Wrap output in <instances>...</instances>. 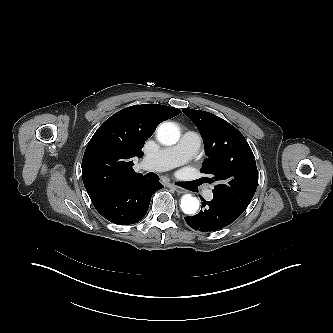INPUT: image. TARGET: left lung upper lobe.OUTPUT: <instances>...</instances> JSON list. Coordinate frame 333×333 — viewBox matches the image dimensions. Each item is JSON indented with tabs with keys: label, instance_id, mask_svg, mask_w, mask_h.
Segmentation results:
<instances>
[{
	"label": "left lung upper lobe",
	"instance_id": "5c2ea615",
	"mask_svg": "<svg viewBox=\"0 0 333 333\" xmlns=\"http://www.w3.org/2000/svg\"><path fill=\"white\" fill-rule=\"evenodd\" d=\"M204 139L205 154L201 172L216 182V195L242 210L251 202L258 185L254 154L244 136L224 119L206 111L183 109Z\"/></svg>",
	"mask_w": 333,
	"mask_h": 333
}]
</instances>
